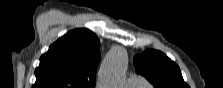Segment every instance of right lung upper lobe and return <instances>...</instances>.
I'll return each mask as SVG.
<instances>
[{
  "label": "right lung upper lobe",
  "mask_w": 223,
  "mask_h": 88,
  "mask_svg": "<svg viewBox=\"0 0 223 88\" xmlns=\"http://www.w3.org/2000/svg\"><path fill=\"white\" fill-rule=\"evenodd\" d=\"M100 42L88 29H75L41 56L33 88H94Z\"/></svg>",
  "instance_id": "right-lung-upper-lobe-1"
}]
</instances>
